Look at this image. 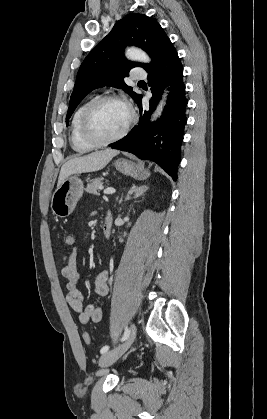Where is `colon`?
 <instances>
[{
	"mask_svg": "<svg viewBox=\"0 0 267 419\" xmlns=\"http://www.w3.org/2000/svg\"><path fill=\"white\" fill-rule=\"evenodd\" d=\"M63 243L65 244V246H67L68 248L72 247L75 245V238L71 233H66L63 236ZM83 340L86 344H89L91 342V338L88 332H84L83 333Z\"/></svg>",
	"mask_w": 267,
	"mask_h": 419,
	"instance_id": "5ec220e1",
	"label": "colon"
}]
</instances>
